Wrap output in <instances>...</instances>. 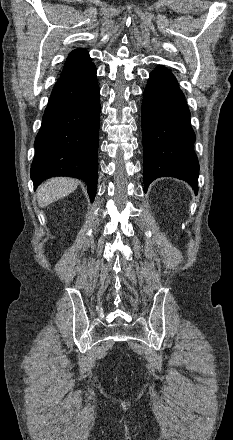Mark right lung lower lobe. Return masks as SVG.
I'll return each mask as SVG.
<instances>
[{"mask_svg":"<svg viewBox=\"0 0 233 440\" xmlns=\"http://www.w3.org/2000/svg\"><path fill=\"white\" fill-rule=\"evenodd\" d=\"M100 99L96 68L60 78L53 87L34 147L31 166L34 187L53 176H70L87 183L94 200Z\"/></svg>","mask_w":233,"mask_h":440,"instance_id":"obj_1","label":"right lung lower lobe"}]
</instances>
